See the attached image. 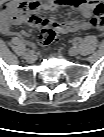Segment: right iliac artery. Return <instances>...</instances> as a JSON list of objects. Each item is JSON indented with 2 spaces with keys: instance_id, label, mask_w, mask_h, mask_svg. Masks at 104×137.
Masks as SVG:
<instances>
[{
  "instance_id": "1",
  "label": "right iliac artery",
  "mask_w": 104,
  "mask_h": 137,
  "mask_svg": "<svg viewBox=\"0 0 104 137\" xmlns=\"http://www.w3.org/2000/svg\"><path fill=\"white\" fill-rule=\"evenodd\" d=\"M26 51H28V52H34V49L26 48Z\"/></svg>"
}]
</instances>
